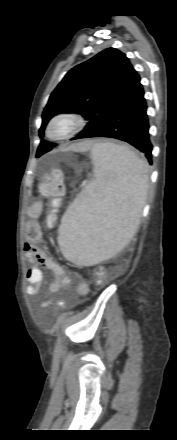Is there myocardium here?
<instances>
[{"label": "myocardium", "mask_w": 177, "mask_h": 440, "mask_svg": "<svg viewBox=\"0 0 177 440\" xmlns=\"http://www.w3.org/2000/svg\"><path fill=\"white\" fill-rule=\"evenodd\" d=\"M63 124V128H58ZM86 126L84 118L72 112H60L48 121L45 128V136L53 141L71 139L81 133Z\"/></svg>", "instance_id": "myocardium-1"}]
</instances>
